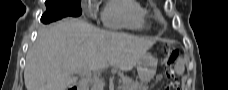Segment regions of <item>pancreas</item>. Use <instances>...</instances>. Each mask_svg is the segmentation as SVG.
<instances>
[{
    "instance_id": "1",
    "label": "pancreas",
    "mask_w": 228,
    "mask_h": 90,
    "mask_svg": "<svg viewBox=\"0 0 228 90\" xmlns=\"http://www.w3.org/2000/svg\"><path fill=\"white\" fill-rule=\"evenodd\" d=\"M147 86L133 81L130 78H123L119 90H146Z\"/></svg>"
}]
</instances>
